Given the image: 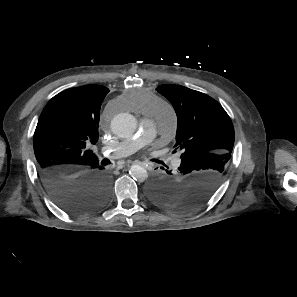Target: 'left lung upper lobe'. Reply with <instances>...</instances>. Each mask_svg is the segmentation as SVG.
Here are the masks:
<instances>
[{"mask_svg":"<svg viewBox=\"0 0 297 297\" xmlns=\"http://www.w3.org/2000/svg\"><path fill=\"white\" fill-rule=\"evenodd\" d=\"M156 90L177 114L174 147L182 151L180 167L184 172L171 175L170 191L149 193V197L162 208L191 211L210 199L226 173L235 139L233 124L223 107L204 93L171 84Z\"/></svg>","mask_w":297,"mask_h":297,"instance_id":"1","label":"left lung upper lobe"}]
</instances>
